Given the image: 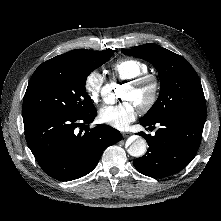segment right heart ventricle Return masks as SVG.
Masks as SVG:
<instances>
[{"instance_id":"obj_1","label":"right heart ventricle","mask_w":221,"mask_h":221,"mask_svg":"<svg viewBox=\"0 0 221 221\" xmlns=\"http://www.w3.org/2000/svg\"><path fill=\"white\" fill-rule=\"evenodd\" d=\"M148 72V65L138 59L122 58L111 66V74L116 80H129Z\"/></svg>"}]
</instances>
